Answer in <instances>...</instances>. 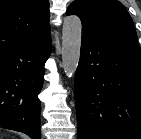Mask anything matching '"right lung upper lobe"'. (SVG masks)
I'll return each instance as SVG.
<instances>
[{"mask_svg":"<svg viewBox=\"0 0 141 139\" xmlns=\"http://www.w3.org/2000/svg\"><path fill=\"white\" fill-rule=\"evenodd\" d=\"M48 0H0V52L49 35Z\"/></svg>","mask_w":141,"mask_h":139,"instance_id":"1","label":"right lung upper lobe"}]
</instances>
